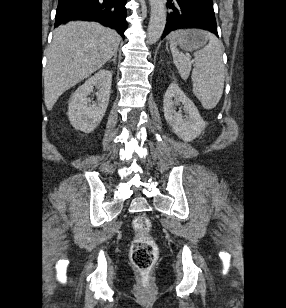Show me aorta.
I'll return each mask as SVG.
<instances>
[{
    "instance_id": "aorta-1",
    "label": "aorta",
    "mask_w": 286,
    "mask_h": 308,
    "mask_svg": "<svg viewBox=\"0 0 286 308\" xmlns=\"http://www.w3.org/2000/svg\"><path fill=\"white\" fill-rule=\"evenodd\" d=\"M150 21L147 29V42L156 43L164 31L167 14L164 0H149Z\"/></svg>"
}]
</instances>
